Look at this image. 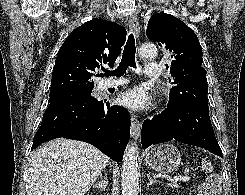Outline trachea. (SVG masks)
Wrapping results in <instances>:
<instances>
[{"instance_id":"obj_1","label":"trachea","mask_w":245,"mask_h":195,"mask_svg":"<svg viewBox=\"0 0 245 195\" xmlns=\"http://www.w3.org/2000/svg\"><path fill=\"white\" fill-rule=\"evenodd\" d=\"M135 53H136L135 39L133 34H130L127 43L124 47L122 59L118 68L115 69L114 71L105 70L103 76L108 77L114 75L116 77H121L124 75V73L126 72L129 66L135 68L136 67Z\"/></svg>"}]
</instances>
